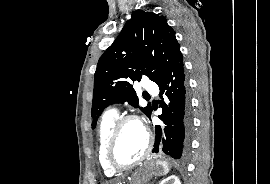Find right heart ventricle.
Here are the masks:
<instances>
[{
  "label": "right heart ventricle",
  "instance_id": "obj_1",
  "mask_svg": "<svg viewBox=\"0 0 270 184\" xmlns=\"http://www.w3.org/2000/svg\"><path fill=\"white\" fill-rule=\"evenodd\" d=\"M118 119V113L115 110H109L105 112L101 118L98 130V156L103 172L107 176H112L116 173L111 169L106 162L105 151L110 133L114 124Z\"/></svg>",
  "mask_w": 270,
  "mask_h": 184
}]
</instances>
